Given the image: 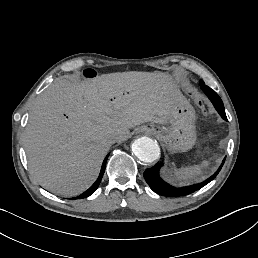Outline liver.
<instances>
[{
	"label": "liver",
	"mask_w": 258,
	"mask_h": 258,
	"mask_svg": "<svg viewBox=\"0 0 258 258\" xmlns=\"http://www.w3.org/2000/svg\"><path fill=\"white\" fill-rule=\"evenodd\" d=\"M180 90L167 72L127 71L76 83L56 80L37 99L25 127L28 169L52 193L74 197L96 180L115 133L164 123ZM68 117V118H66Z\"/></svg>",
	"instance_id": "liver-1"
}]
</instances>
